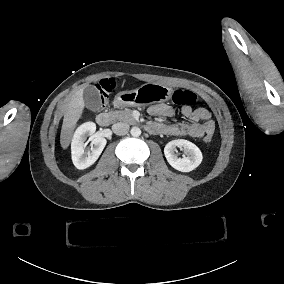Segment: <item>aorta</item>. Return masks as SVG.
I'll return each instance as SVG.
<instances>
[{
	"mask_svg": "<svg viewBox=\"0 0 284 284\" xmlns=\"http://www.w3.org/2000/svg\"><path fill=\"white\" fill-rule=\"evenodd\" d=\"M130 133L133 137H139L141 135V129L137 126H134L132 127Z\"/></svg>",
	"mask_w": 284,
	"mask_h": 284,
	"instance_id": "1",
	"label": "aorta"
}]
</instances>
